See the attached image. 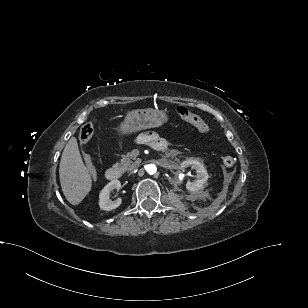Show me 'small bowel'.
Listing matches in <instances>:
<instances>
[{"instance_id": "small-bowel-1", "label": "small bowel", "mask_w": 308, "mask_h": 308, "mask_svg": "<svg viewBox=\"0 0 308 308\" xmlns=\"http://www.w3.org/2000/svg\"><path fill=\"white\" fill-rule=\"evenodd\" d=\"M138 140L140 143L150 145L154 148H156L155 143L156 142H163L165 145L164 140H162L155 132L147 131L143 132L138 136Z\"/></svg>"}]
</instances>
